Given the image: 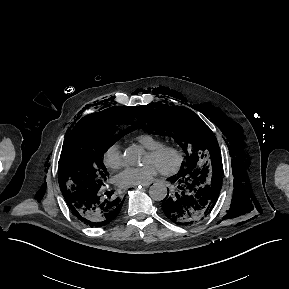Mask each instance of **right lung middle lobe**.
I'll use <instances>...</instances> for the list:
<instances>
[{
  "label": "right lung middle lobe",
  "instance_id": "obj_1",
  "mask_svg": "<svg viewBox=\"0 0 289 289\" xmlns=\"http://www.w3.org/2000/svg\"><path fill=\"white\" fill-rule=\"evenodd\" d=\"M128 125L126 129L123 126ZM137 129L123 121L75 126L64 140L59 185L65 200L98 190L106 180L103 154L121 137Z\"/></svg>",
  "mask_w": 289,
  "mask_h": 289
}]
</instances>
